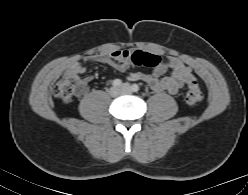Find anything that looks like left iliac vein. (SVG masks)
<instances>
[{
    "label": "left iliac vein",
    "mask_w": 248,
    "mask_h": 195,
    "mask_svg": "<svg viewBox=\"0 0 248 195\" xmlns=\"http://www.w3.org/2000/svg\"><path fill=\"white\" fill-rule=\"evenodd\" d=\"M121 91L124 92V93H129L132 91V88L129 84H123L121 87H120Z\"/></svg>",
    "instance_id": "left-iliac-vein-1"
}]
</instances>
